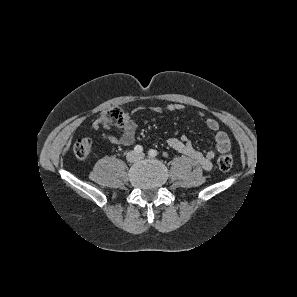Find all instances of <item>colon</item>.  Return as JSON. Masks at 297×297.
<instances>
[{"label": "colon", "instance_id": "5ec220e1", "mask_svg": "<svg viewBox=\"0 0 297 297\" xmlns=\"http://www.w3.org/2000/svg\"><path fill=\"white\" fill-rule=\"evenodd\" d=\"M125 113L119 107H112L105 110L100 117V120L106 124H111L114 126H122L125 121ZM92 148V142L89 138L78 139L74 146L73 152L77 158L84 159L86 158ZM220 170L226 172L229 171L233 165V157L230 152L222 153L217 160Z\"/></svg>", "mask_w": 297, "mask_h": 297}]
</instances>
